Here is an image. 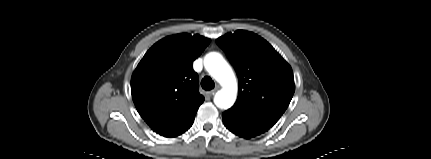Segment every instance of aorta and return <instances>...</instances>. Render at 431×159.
<instances>
[{
    "mask_svg": "<svg viewBox=\"0 0 431 159\" xmlns=\"http://www.w3.org/2000/svg\"><path fill=\"white\" fill-rule=\"evenodd\" d=\"M205 69L222 86L215 97L214 103L218 108L228 109L237 97V82L235 75L221 54L211 52L204 58Z\"/></svg>",
    "mask_w": 431,
    "mask_h": 159,
    "instance_id": "obj_1",
    "label": "aorta"
}]
</instances>
